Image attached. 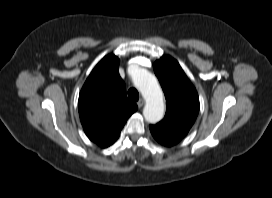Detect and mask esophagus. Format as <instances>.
<instances>
[{
	"label": "esophagus",
	"instance_id": "1",
	"mask_svg": "<svg viewBox=\"0 0 272 198\" xmlns=\"http://www.w3.org/2000/svg\"><path fill=\"white\" fill-rule=\"evenodd\" d=\"M137 105L139 108H141L144 105V100L141 98L138 100Z\"/></svg>",
	"mask_w": 272,
	"mask_h": 198
}]
</instances>
